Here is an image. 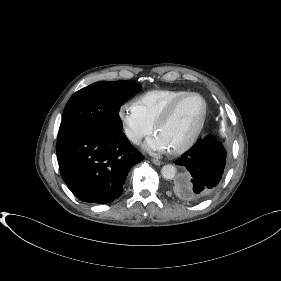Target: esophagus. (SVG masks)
Segmentation results:
<instances>
[{
    "label": "esophagus",
    "instance_id": "esophagus-1",
    "mask_svg": "<svg viewBox=\"0 0 281 281\" xmlns=\"http://www.w3.org/2000/svg\"><path fill=\"white\" fill-rule=\"evenodd\" d=\"M152 162L155 164V165H161L163 162L159 159H152Z\"/></svg>",
    "mask_w": 281,
    "mask_h": 281
}]
</instances>
